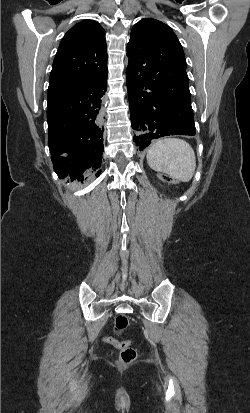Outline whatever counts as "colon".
<instances>
[{
	"label": "colon",
	"instance_id": "5ec220e1",
	"mask_svg": "<svg viewBox=\"0 0 250 413\" xmlns=\"http://www.w3.org/2000/svg\"><path fill=\"white\" fill-rule=\"evenodd\" d=\"M157 178L162 183H170L172 187H179L182 185V180L176 178L174 174H166L164 171L157 173ZM129 325V319L125 315H118L113 324V330L116 335L123 333ZM105 341L116 348L120 349L118 363L120 365H128L132 363L137 357V351L132 346L130 341L118 342L112 337H106Z\"/></svg>",
	"mask_w": 250,
	"mask_h": 413
}]
</instances>
